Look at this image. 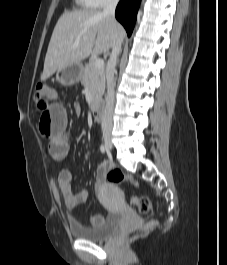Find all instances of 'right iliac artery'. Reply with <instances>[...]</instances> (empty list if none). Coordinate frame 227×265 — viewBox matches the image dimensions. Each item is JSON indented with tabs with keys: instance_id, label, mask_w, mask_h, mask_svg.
Segmentation results:
<instances>
[{
	"instance_id": "right-iliac-artery-1",
	"label": "right iliac artery",
	"mask_w": 227,
	"mask_h": 265,
	"mask_svg": "<svg viewBox=\"0 0 227 265\" xmlns=\"http://www.w3.org/2000/svg\"><path fill=\"white\" fill-rule=\"evenodd\" d=\"M100 150H101L102 153H105V151H106V146L102 144V145L100 146Z\"/></svg>"
}]
</instances>
